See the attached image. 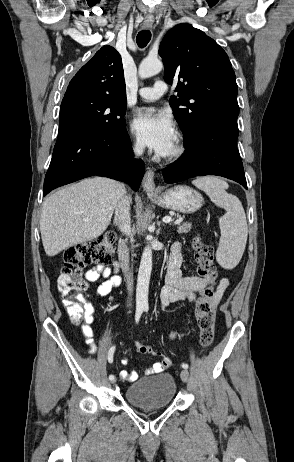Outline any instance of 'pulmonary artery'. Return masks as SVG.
I'll return each instance as SVG.
<instances>
[{
  "instance_id": "obj_1",
  "label": "pulmonary artery",
  "mask_w": 294,
  "mask_h": 462,
  "mask_svg": "<svg viewBox=\"0 0 294 462\" xmlns=\"http://www.w3.org/2000/svg\"><path fill=\"white\" fill-rule=\"evenodd\" d=\"M168 87L164 81L158 80L152 87H144L139 90V96L146 101H155L163 96Z\"/></svg>"
}]
</instances>
